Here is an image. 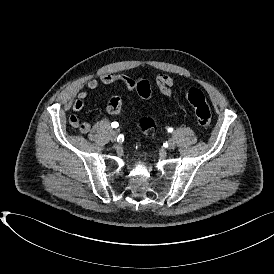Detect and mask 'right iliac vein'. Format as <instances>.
<instances>
[{"label":"right iliac vein","mask_w":274,"mask_h":274,"mask_svg":"<svg viewBox=\"0 0 274 274\" xmlns=\"http://www.w3.org/2000/svg\"><path fill=\"white\" fill-rule=\"evenodd\" d=\"M110 139H111L112 142H116L117 141V133L116 132H112Z\"/></svg>","instance_id":"right-iliac-vein-1"}]
</instances>
